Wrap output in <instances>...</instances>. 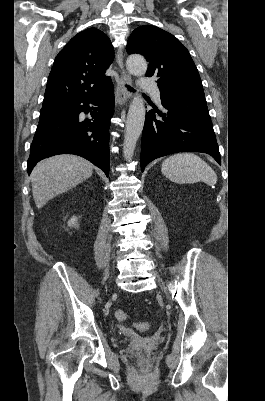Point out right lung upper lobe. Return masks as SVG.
Segmentation results:
<instances>
[{
  "label": "right lung upper lobe",
  "instance_id": "right-lung-upper-lobe-1",
  "mask_svg": "<svg viewBox=\"0 0 265 401\" xmlns=\"http://www.w3.org/2000/svg\"><path fill=\"white\" fill-rule=\"evenodd\" d=\"M113 59V46L102 31L88 28L78 33L55 58L42 106L71 103L101 92L111 83L104 73Z\"/></svg>",
  "mask_w": 265,
  "mask_h": 401
}]
</instances>
